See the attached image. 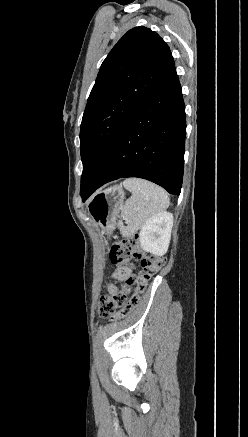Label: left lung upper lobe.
Masks as SVG:
<instances>
[{
  "label": "left lung upper lobe",
  "mask_w": 248,
  "mask_h": 437,
  "mask_svg": "<svg viewBox=\"0 0 248 437\" xmlns=\"http://www.w3.org/2000/svg\"><path fill=\"white\" fill-rule=\"evenodd\" d=\"M174 66L168 45L143 26L129 30L109 52L81 122V196L98 176L131 115Z\"/></svg>",
  "instance_id": "5c2ea615"
}]
</instances>
